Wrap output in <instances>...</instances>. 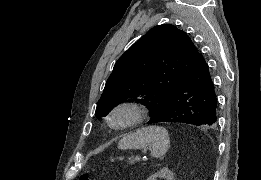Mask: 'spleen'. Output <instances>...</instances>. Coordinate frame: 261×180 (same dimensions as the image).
I'll return each mask as SVG.
<instances>
[{
  "label": "spleen",
  "instance_id": "obj_1",
  "mask_svg": "<svg viewBox=\"0 0 261 180\" xmlns=\"http://www.w3.org/2000/svg\"><path fill=\"white\" fill-rule=\"evenodd\" d=\"M169 136L166 128L148 126L135 134H128L118 144V150H142L149 146L153 158H163L169 148Z\"/></svg>",
  "mask_w": 261,
  "mask_h": 180
}]
</instances>
